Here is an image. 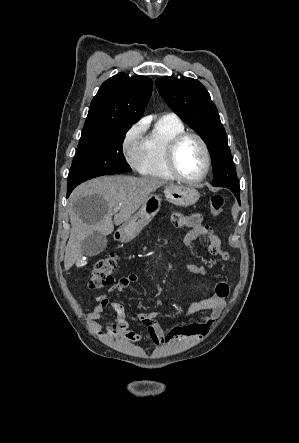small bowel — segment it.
Masks as SVG:
<instances>
[{"label":"small bowel","mask_w":299,"mask_h":443,"mask_svg":"<svg viewBox=\"0 0 299 443\" xmlns=\"http://www.w3.org/2000/svg\"><path fill=\"white\" fill-rule=\"evenodd\" d=\"M171 219L177 228H190L183 239L184 245L190 251H197L198 247L195 245V241L202 239L205 242V250L207 253L219 258L221 261H227L229 259V253L224 249L221 239L214 233L209 225L203 222V216L201 214L184 215L182 213H173ZM183 266L192 274L199 276L207 275V269L204 264L184 263ZM136 281L137 276L135 274H129L119 278L109 290L111 292H122ZM229 291L230 287L228 282L220 280L216 283L213 293L210 296L192 302L186 307L183 312L184 320L190 319L199 312L210 311V316L206 317L204 322L180 325L165 332L157 322V314L155 312L139 313L137 314V318L147 328L148 335L155 345H162L186 336H205L209 333L215 320L220 316L226 306V298ZM96 300L97 305L88 314L89 325L94 331L101 335H106L109 338L121 337L130 342H139L142 340L143 336L141 334L129 329L126 313L121 303L110 300L106 295H98ZM106 308L112 311L115 318L107 324L106 330L102 331L98 321L103 317Z\"/></svg>","instance_id":"c3829d8e"}]
</instances>
